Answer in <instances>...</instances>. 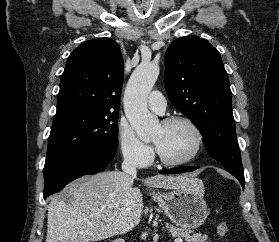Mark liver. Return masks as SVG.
Listing matches in <instances>:
<instances>
[{
    "label": "liver",
    "instance_id": "obj_1",
    "mask_svg": "<svg viewBox=\"0 0 279 242\" xmlns=\"http://www.w3.org/2000/svg\"><path fill=\"white\" fill-rule=\"evenodd\" d=\"M143 183L164 189H203L201 181L187 175H155ZM132 186L133 178L120 171L73 181L66 188L67 200L62 195L50 199L46 242L101 241L132 230L143 212L142 193Z\"/></svg>",
    "mask_w": 279,
    "mask_h": 242
}]
</instances>
